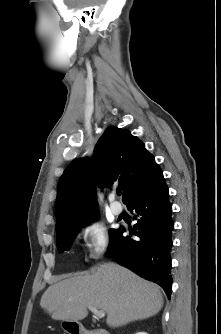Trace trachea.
I'll use <instances>...</instances> for the list:
<instances>
[{"label": "trachea", "mask_w": 221, "mask_h": 334, "mask_svg": "<svg viewBox=\"0 0 221 334\" xmlns=\"http://www.w3.org/2000/svg\"><path fill=\"white\" fill-rule=\"evenodd\" d=\"M121 193H122L121 190H118V191H117V195H118V196H120Z\"/></svg>", "instance_id": "trachea-1"}]
</instances>
